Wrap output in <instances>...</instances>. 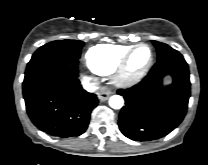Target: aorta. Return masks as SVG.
Segmentation results:
<instances>
[{"mask_svg":"<svg viewBox=\"0 0 208 165\" xmlns=\"http://www.w3.org/2000/svg\"><path fill=\"white\" fill-rule=\"evenodd\" d=\"M109 105L113 109H121L124 105V100L120 95H113L109 99Z\"/></svg>","mask_w":208,"mask_h":165,"instance_id":"aorta-1","label":"aorta"}]
</instances>
